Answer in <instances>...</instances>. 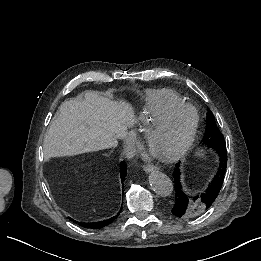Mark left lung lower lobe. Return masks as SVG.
Segmentation results:
<instances>
[{"mask_svg":"<svg viewBox=\"0 0 261 261\" xmlns=\"http://www.w3.org/2000/svg\"><path fill=\"white\" fill-rule=\"evenodd\" d=\"M220 163L217 172L213 178L212 183L208 186L204 193L190 198L182 187L181 182V166L180 163L176 164L173 172L175 182V203L171 209L173 215L179 218H186L195 216L206 209H208L216 197L218 196L223 184L225 171L227 168V151H217Z\"/></svg>","mask_w":261,"mask_h":261,"instance_id":"left-lung-lower-lobe-1","label":"left lung lower lobe"}]
</instances>
